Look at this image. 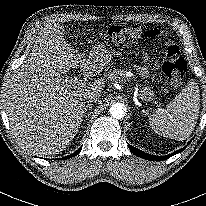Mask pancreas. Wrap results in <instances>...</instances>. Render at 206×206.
Wrapping results in <instances>:
<instances>
[{
    "mask_svg": "<svg viewBox=\"0 0 206 206\" xmlns=\"http://www.w3.org/2000/svg\"><path fill=\"white\" fill-rule=\"evenodd\" d=\"M124 75V72L122 70L114 68L113 70H109L106 72L105 77L110 81H122V76Z\"/></svg>",
    "mask_w": 206,
    "mask_h": 206,
    "instance_id": "obj_1",
    "label": "pancreas"
}]
</instances>
